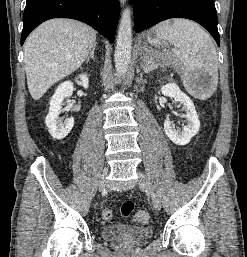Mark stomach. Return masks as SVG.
Instances as JSON below:
<instances>
[{"instance_id":"0dacf381","label":"stomach","mask_w":247,"mask_h":257,"mask_svg":"<svg viewBox=\"0 0 247 257\" xmlns=\"http://www.w3.org/2000/svg\"><path fill=\"white\" fill-rule=\"evenodd\" d=\"M153 36H154V33L152 30H150L147 34V38L153 37ZM159 45L164 46V42L160 41ZM141 58L145 67L149 66L156 59H162L166 63H172L177 65L178 68L181 69V71L184 70V68H181V63L177 60L176 56L172 55L165 49L159 52L154 50L151 47H144L141 52Z\"/></svg>"}]
</instances>
